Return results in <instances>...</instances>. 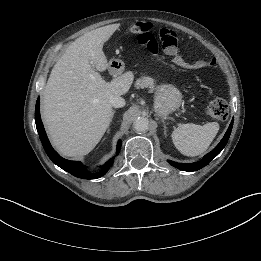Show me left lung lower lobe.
<instances>
[{"instance_id":"obj_1","label":"left lung lower lobe","mask_w":261,"mask_h":261,"mask_svg":"<svg viewBox=\"0 0 261 261\" xmlns=\"http://www.w3.org/2000/svg\"><path fill=\"white\" fill-rule=\"evenodd\" d=\"M232 126H233V120L231 121L230 126H229L227 132L225 133L223 139L220 141V143L210 153L205 155L201 161L196 162V163H192V164H184V163H176V162L169 160V163L172 166H174V167H176L180 170L188 171V172L197 171V170L203 168L214 157H216L222 151V149L225 147V145H226V143H227V141L230 137Z\"/></svg>"}]
</instances>
